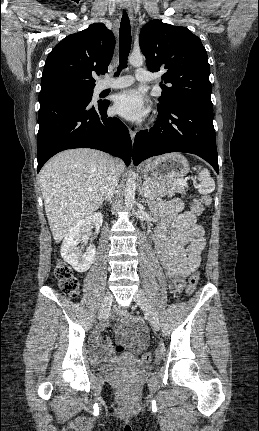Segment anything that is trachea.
I'll return each mask as SVG.
<instances>
[{"mask_svg": "<svg viewBox=\"0 0 259 431\" xmlns=\"http://www.w3.org/2000/svg\"><path fill=\"white\" fill-rule=\"evenodd\" d=\"M119 41H120V52H119V62L120 65L117 68L115 76H117L123 68L127 67V58L131 49V29L130 20L128 14L124 11L120 23L119 30Z\"/></svg>", "mask_w": 259, "mask_h": 431, "instance_id": "3493384b", "label": "trachea"}]
</instances>
